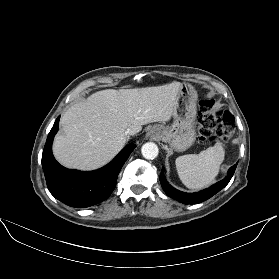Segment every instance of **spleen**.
Returning a JSON list of instances; mask_svg holds the SVG:
<instances>
[{
  "label": "spleen",
  "mask_w": 279,
  "mask_h": 279,
  "mask_svg": "<svg viewBox=\"0 0 279 279\" xmlns=\"http://www.w3.org/2000/svg\"><path fill=\"white\" fill-rule=\"evenodd\" d=\"M225 151L220 141L199 154L179 156L176 168L182 183L190 189H201L211 184L219 173Z\"/></svg>",
  "instance_id": "spleen-1"
}]
</instances>
